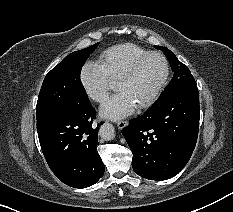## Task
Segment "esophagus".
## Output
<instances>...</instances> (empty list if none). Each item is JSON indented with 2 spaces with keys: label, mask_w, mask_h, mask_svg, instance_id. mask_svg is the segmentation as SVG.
<instances>
[{
  "label": "esophagus",
  "mask_w": 233,
  "mask_h": 212,
  "mask_svg": "<svg viewBox=\"0 0 233 212\" xmlns=\"http://www.w3.org/2000/svg\"><path fill=\"white\" fill-rule=\"evenodd\" d=\"M128 125V122L127 121H119L117 122V127L119 129H123L124 127H126Z\"/></svg>",
  "instance_id": "34e87169"
}]
</instances>
